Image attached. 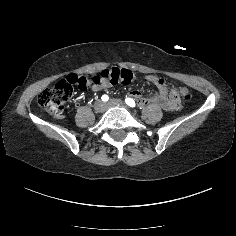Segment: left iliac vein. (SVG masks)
Returning a JSON list of instances; mask_svg holds the SVG:
<instances>
[{"label":"left iliac vein","instance_id":"4c4485c4","mask_svg":"<svg viewBox=\"0 0 236 236\" xmlns=\"http://www.w3.org/2000/svg\"><path fill=\"white\" fill-rule=\"evenodd\" d=\"M107 107H113V106H120V107H124L125 103L121 100H117V99H111L109 102L106 103Z\"/></svg>","mask_w":236,"mask_h":236}]
</instances>
